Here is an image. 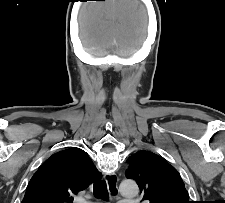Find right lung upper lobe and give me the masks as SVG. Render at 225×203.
<instances>
[{"label": "right lung upper lobe", "mask_w": 225, "mask_h": 203, "mask_svg": "<svg viewBox=\"0 0 225 203\" xmlns=\"http://www.w3.org/2000/svg\"><path fill=\"white\" fill-rule=\"evenodd\" d=\"M100 178L101 173L84 150L65 149L39 167L22 203H72L73 195Z\"/></svg>", "instance_id": "cb5924a9"}]
</instances>
